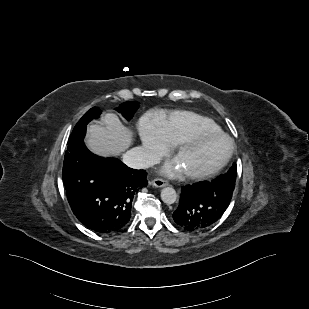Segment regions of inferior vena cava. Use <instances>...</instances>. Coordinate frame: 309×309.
<instances>
[{
    "mask_svg": "<svg viewBox=\"0 0 309 309\" xmlns=\"http://www.w3.org/2000/svg\"><path fill=\"white\" fill-rule=\"evenodd\" d=\"M160 158L152 152L144 151L141 147H135L127 151L123 156V162L134 169H144L158 164Z\"/></svg>",
    "mask_w": 309,
    "mask_h": 309,
    "instance_id": "inferior-vena-cava-1",
    "label": "inferior vena cava"
}]
</instances>
